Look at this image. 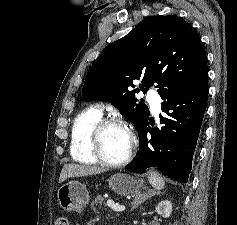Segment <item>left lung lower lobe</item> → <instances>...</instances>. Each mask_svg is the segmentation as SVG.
<instances>
[{"mask_svg": "<svg viewBox=\"0 0 237 225\" xmlns=\"http://www.w3.org/2000/svg\"><path fill=\"white\" fill-rule=\"evenodd\" d=\"M207 77L196 86H184L160 95L164 100L160 128L147 118L139 128V151L126 169L144 173L156 167L161 173L179 182H187L192 159L207 106ZM147 133L152 137L147 139Z\"/></svg>", "mask_w": 237, "mask_h": 225, "instance_id": "left-lung-lower-lobe-1", "label": "left lung lower lobe"}]
</instances>
